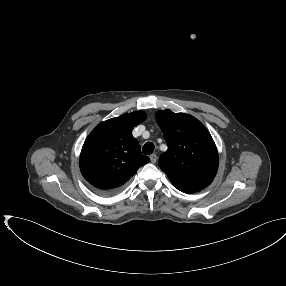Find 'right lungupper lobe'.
<instances>
[{"label": "right lung upper lobe", "instance_id": "obj_1", "mask_svg": "<svg viewBox=\"0 0 286 286\" xmlns=\"http://www.w3.org/2000/svg\"><path fill=\"white\" fill-rule=\"evenodd\" d=\"M146 114L135 111L101 122L85 140L80 154V170L97 190L116 192L150 159L142 155L132 129Z\"/></svg>", "mask_w": 286, "mask_h": 286}]
</instances>
